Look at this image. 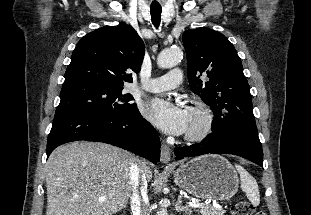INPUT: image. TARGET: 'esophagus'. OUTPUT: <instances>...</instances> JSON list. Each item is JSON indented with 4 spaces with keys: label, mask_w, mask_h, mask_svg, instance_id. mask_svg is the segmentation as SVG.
Segmentation results:
<instances>
[{
    "label": "esophagus",
    "mask_w": 311,
    "mask_h": 215,
    "mask_svg": "<svg viewBox=\"0 0 311 215\" xmlns=\"http://www.w3.org/2000/svg\"><path fill=\"white\" fill-rule=\"evenodd\" d=\"M161 163L165 165H172L171 164V151L170 148L165 144L162 143L161 145V157H160Z\"/></svg>",
    "instance_id": "34e87169"
}]
</instances>
